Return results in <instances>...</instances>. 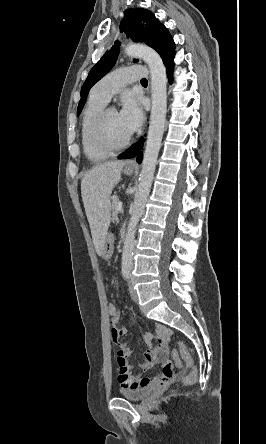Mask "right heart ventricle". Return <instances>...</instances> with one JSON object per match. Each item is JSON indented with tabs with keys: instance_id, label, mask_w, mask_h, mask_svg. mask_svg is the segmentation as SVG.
<instances>
[{
	"instance_id": "obj_1",
	"label": "right heart ventricle",
	"mask_w": 266,
	"mask_h": 444,
	"mask_svg": "<svg viewBox=\"0 0 266 444\" xmlns=\"http://www.w3.org/2000/svg\"><path fill=\"white\" fill-rule=\"evenodd\" d=\"M107 102L91 94L84 109L81 121V144L86 157L92 161L107 159L111 153L95 148L90 140V128L96 116L105 108Z\"/></svg>"
}]
</instances>
